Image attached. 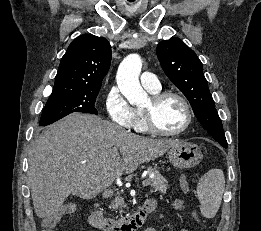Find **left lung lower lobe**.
<instances>
[{"mask_svg": "<svg viewBox=\"0 0 261 231\" xmlns=\"http://www.w3.org/2000/svg\"><path fill=\"white\" fill-rule=\"evenodd\" d=\"M223 147L227 148L228 144L227 143H223V142H219Z\"/></svg>", "mask_w": 261, "mask_h": 231, "instance_id": "1", "label": "left lung lower lobe"}]
</instances>
